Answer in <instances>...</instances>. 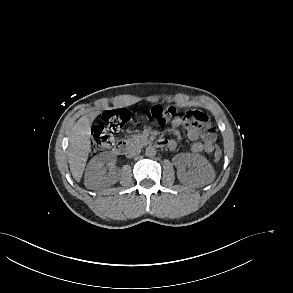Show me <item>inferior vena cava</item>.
Segmentation results:
<instances>
[{
    "instance_id": "obj_1",
    "label": "inferior vena cava",
    "mask_w": 293,
    "mask_h": 293,
    "mask_svg": "<svg viewBox=\"0 0 293 293\" xmlns=\"http://www.w3.org/2000/svg\"><path fill=\"white\" fill-rule=\"evenodd\" d=\"M140 152H141V149H140V148H138V147H134V148H131V149L127 152V155H126V156H127L128 158H132V157H134V156L139 155Z\"/></svg>"
}]
</instances>
